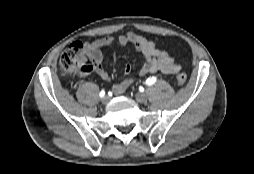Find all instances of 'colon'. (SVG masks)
I'll return each instance as SVG.
<instances>
[{"label":"colon","mask_w":254,"mask_h":174,"mask_svg":"<svg viewBox=\"0 0 254 174\" xmlns=\"http://www.w3.org/2000/svg\"><path fill=\"white\" fill-rule=\"evenodd\" d=\"M61 70L66 75H77L90 72L93 69L92 63L88 62L86 48L80 41L71 43L63 52L60 59ZM187 76L185 73H178L175 82L178 86L185 85Z\"/></svg>","instance_id":"obj_1"}]
</instances>
